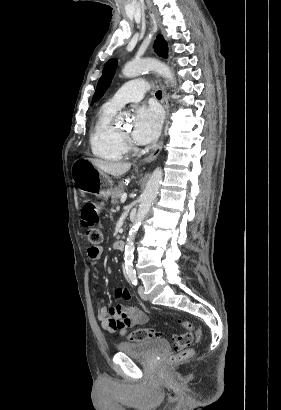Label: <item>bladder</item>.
Listing matches in <instances>:
<instances>
[{
  "label": "bladder",
  "mask_w": 281,
  "mask_h": 410,
  "mask_svg": "<svg viewBox=\"0 0 281 410\" xmlns=\"http://www.w3.org/2000/svg\"><path fill=\"white\" fill-rule=\"evenodd\" d=\"M119 353L135 358L148 359L157 354L167 352L170 345L163 339H149L139 342H121L116 345Z\"/></svg>",
  "instance_id": "bladder-1"
}]
</instances>
